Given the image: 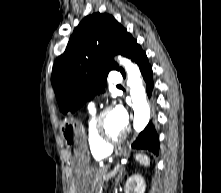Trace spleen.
I'll list each match as a JSON object with an SVG mask.
<instances>
[{
	"instance_id": "spleen-1",
	"label": "spleen",
	"mask_w": 221,
	"mask_h": 193,
	"mask_svg": "<svg viewBox=\"0 0 221 193\" xmlns=\"http://www.w3.org/2000/svg\"><path fill=\"white\" fill-rule=\"evenodd\" d=\"M136 160L140 162V164L144 166H148L150 164V159L147 155L144 154H136Z\"/></svg>"
}]
</instances>
